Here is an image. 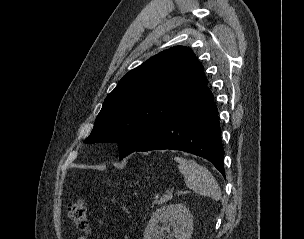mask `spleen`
Returning <instances> with one entry per match:
<instances>
[{"instance_id": "spleen-1", "label": "spleen", "mask_w": 304, "mask_h": 239, "mask_svg": "<svg viewBox=\"0 0 304 239\" xmlns=\"http://www.w3.org/2000/svg\"><path fill=\"white\" fill-rule=\"evenodd\" d=\"M178 168L184 176L186 185L195 193L220 200L221 190L213 175L203 166L193 160L175 157Z\"/></svg>"}]
</instances>
